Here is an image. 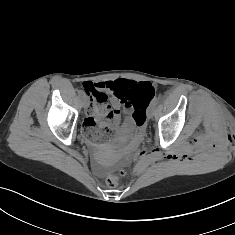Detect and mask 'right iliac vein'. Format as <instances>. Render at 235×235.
<instances>
[{"mask_svg":"<svg viewBox=\"0 0 235 235\" xmlns=\"http://www.w3.org/2000/svg\"><path fill=\"white\" fill-rule=\"evenodd\" d=\"M84 107H88V102H84Z\"/></svg>","mask_w":235,"mask_h":235,"instance_id":"obj_1","label":"right iliac vein"}]
</instances>
